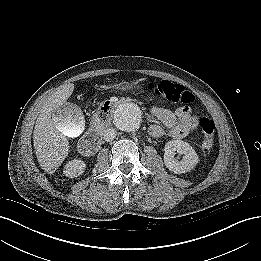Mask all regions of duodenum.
<instances>
[{
	"instance_id": "410a0bca",
	"label": "duodenum",
	"mask_w": 261,
	"mask_h": 261,
	"mask_svg": "<svg viewBox=\"0 0 261 261\" xmlns=\"http://www.w3.org/2000/svg\"><path fill=\"white\" fill-rule=\"evenodd\" d=\"M110 110L103 114L102 117L96 118L93 123V128L80 140L79 151L83 154H94L102 145L101 132L111 123L112 115Z\"/></svg>"
}]
</instances>
